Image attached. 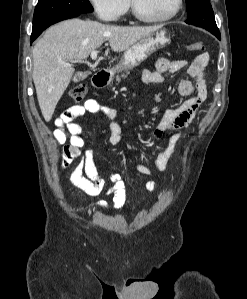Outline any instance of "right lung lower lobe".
<instances>
[{
	"label": "right lung lower lobe",
	"mask_w": 247,
	"mask_h": 299,
	"mask_svg": "<svg viewBox=\"0 0 247 299\" xmlns=\"http://www.w3.org/2000/svg\"><path fill=\"white\" fill-rule=\"evenodd\" d=\"M78 15H80V14H72V15H70V16L64 18V19H68V18L76 17V16H78ZM64 19H61V20H64ZM61 20H59V21H61ZM59 21H57V22H59ZM55 23H56V22H55ZM53 24H54V23H53ZM48 27H49V26H48ZM45 29H46V28H45ZM45 29H43V30H45ZM43 30H42V31H43ZM42 31H40V32L37 33L36 35H31V42H33V41L40 35V33H41Z\"/></svg>",
	"instance_id": "1"
}]
</instances>
